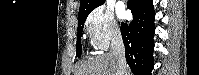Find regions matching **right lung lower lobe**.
<instances>
[{"instance_id":"right-lung-lower-lobe-1","label":"right lung lower lobe","mask_w":199,"mask_h":75,"mask_svg":"<svg viewBox=\"0 0 199 75\" xmlns=\"http://www.w3.org/2000/svg\"><path fill=\"white\" fill-rule=\"evenodd\" d=\"M127 7L133 20L121 24L125 57L134 75H151L153 69V36L155 12L152 0H129Z\"/></svg>"}]
</instances>
